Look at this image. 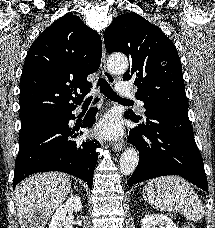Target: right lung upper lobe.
<instances>
[{
    "instance_id": "right-lung-upper-lobe-1",
    "label": "right lung upper lobe",
    "mask_w": 215,
    "mask_h": 228,
    "mask_svg": "<svg viewBox=\"0 0 215 228\" xmlns=\"http://www.w3.org/2000/svg\"><path fill=\"white\" fill-rule=\"evenodd\" d=\"M101 56L100 36L78 16L57 19L27 53L20 79L21 123L79 105L92 85L87 76L98 70Z\"/></svg>"
}]
</instances>
